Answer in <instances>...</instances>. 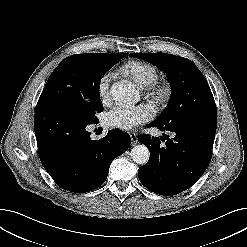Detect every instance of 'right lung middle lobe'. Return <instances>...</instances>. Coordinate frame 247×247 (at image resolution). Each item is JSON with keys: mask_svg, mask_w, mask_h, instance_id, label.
I'll use <instances>...</instances> for the list:
<instances>
[{"mask_svg": "<svg viewBox=\"0 0 247 247\" xmlns=\"http://www.w3.org/2000/svg\"><path fill=\"white\" fill-rule=\"evenodd\" d=\"M122 57L86 53L65 58L50 75L38 100L84 122H96L102 111L98 86L103 75Z\"/></svg>", "mask_w": 247, "mask_h": 247, "instance_id": "right-lung-middle-lobe-1", "label": "right lung middle lobe"}]
</instances>
